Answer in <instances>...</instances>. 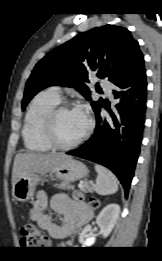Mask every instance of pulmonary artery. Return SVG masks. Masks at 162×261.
<instances>
[{"label":"pulmonary artery","mask_w":162,"mask_h":261,"mask_svg":"<svg viewBox=\"0 0 162 261\" xmlns=\"http://www.w3.org/2000/svg\"><path fill=\"white\" fill-rule=\"evenodd\" d=\"M100 86L102 88V90L111 98L112 97V85L109 81L107 80H100ZM50 91L53 92L54 94L60 96V88L55 86L50 88Z\"/></svg>","instance_id":"pulmonary-artery-1"}]
</instances>
